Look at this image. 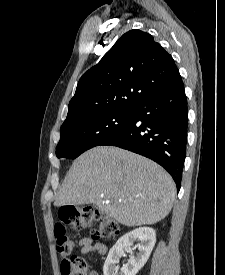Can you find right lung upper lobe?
Instances as JSON below:
<instances>
[{
  "label": "right lung upper lobe",
  "instance_id": "cb5924a9",
  "mask_svg": "<svg viewBox=\"0 0 225 275\" xmlns=\"http://www.w3.org/2000/svg\"><path fill=\"white\" fill-rule=\"evenodd\" d=\"M181 82L172 56L149 33L131 30L80 78L62 126L102 112L132 110Z\"/></svg>",
  "mask_w": 225,
  "mask_h": 275
}]
</instances>
